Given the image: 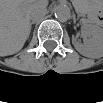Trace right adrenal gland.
Wrapping results in <instances>:
<instances>
[{"mask_svg":"<svg viewBox=\"0 0 103 103\" xmlns=\"http://www.w3.org/2000/svg\"><path fill=\"white\" fill-rule=\"evenodd\" d=\"M34 23H35V22H31V23H30V30H31V27H32V25H33Z\"/></svg>","mask_w":103,"mask_h":103,"instance_id":"2a0ac1e0","label":"right adrenal gland"}]
</instances>
